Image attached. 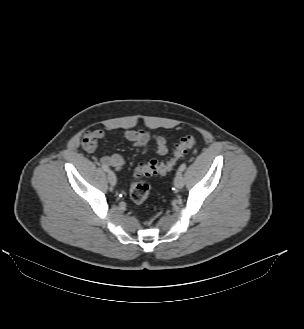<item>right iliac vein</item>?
<instances>
[{
  "label": "right iliac vein",
  "instance_id": "obj_1",
  "mask_svg": "<svg viewBox=\"0 0 304 329\" xmlns=\"http://www.w3.org/2000/svg\"><path fill=\"white\" fill-rule=\"evenodd\" d=\"M108 180L112 186H115L117 183V178L112 171L108 172Z\"/></svg>",
  "mask_w": 304,
  "mask_h": 329
}]
</instances>
